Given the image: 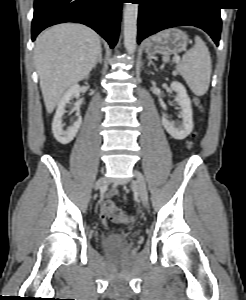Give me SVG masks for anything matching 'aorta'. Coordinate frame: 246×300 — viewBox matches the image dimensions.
Segmentation results:
<instances>
[{
	"label": "aorta",
	"instance_id": "1",
	"mask_svg": "<svg viewBox=\"0 0 246 300\" xmlns=\"http://www.w3.org/2000/svg\"><path fill=\"white\" fill-rule=\"evenodd\" d=\"M139 5L137 3H125L123 34L124 46L128 54H133L137 46V18Z\"/></svg>",
	"mask_w": 246,
	"mask_h": 300
}]
</instances>
